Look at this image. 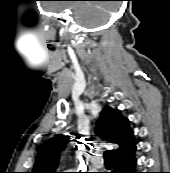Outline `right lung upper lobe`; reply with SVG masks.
I'll return each instance as SVG.
<instances>
[{"label":"right lung upper lobe","mask_w":170,"mask_h":173,"mask_svg":"<svg viewBox=\"0 0 170 173\" xmlns=\"http://www.w3.org/2000/svg\"><path fill=\"white\" fill-rule=\"evenodd\" d=\"M96 134L110 143L118 145L113 155L125 151L134 144V134L129 121L120 110L105 106L96 125ZM70 142L68 135H57L39 149L32 173H56L61 151Z\"/></svg>","instance_id":"1"}]
</instances>
